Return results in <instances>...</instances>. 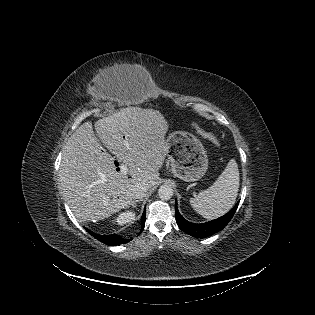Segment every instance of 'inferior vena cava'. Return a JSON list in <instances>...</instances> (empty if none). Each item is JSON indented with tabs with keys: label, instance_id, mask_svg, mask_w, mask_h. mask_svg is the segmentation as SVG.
<instances>
[{
	"label": "inferior vena cava",
	"instance_id": "inferior-vena-cava-1",
	"mask_svg": "<svg viewBox=\"0 0 315 315\" xmlns=\"http://www.w3.org/2000/svg\"><path fill=\"white\" fill-rule=\"evenodd\" d=\"M150 188L148 183L142 182L135 186L133 189V198L134 199H142L145 196L146 192Z\"/></svg>",
	"mask_w": 315,
	"mask_h": 315
}]
</instances>
